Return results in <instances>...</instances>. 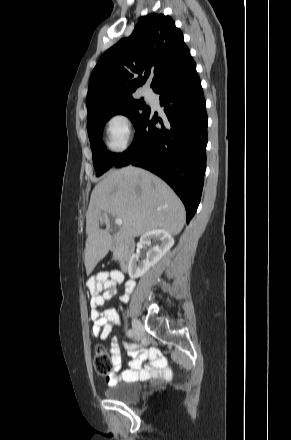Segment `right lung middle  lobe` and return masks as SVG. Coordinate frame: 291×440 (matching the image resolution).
<instances>
[{
  "mask_svg": "<svg viewBox=\"0 0 291 440\" xmlns=\"http://www.w3.org/2000/svg\"><path fill=\"white\" fill-rule=\"evenodd\" d=\"M150 107L144 99L129 98L113 103L99 105L88 111L87 129L93 155V165L96 176H100L111 168L118 160L120 154L107 152L102 142L104 124L115 114H123L130 118L135 129L146 117Z\"/></svg>",
  "mask_w": 291,
  "mask_h": 440,
  "instance_id": "dd1d6c3e",
  "label": "right lung middle lobe"
}]
</instances>
